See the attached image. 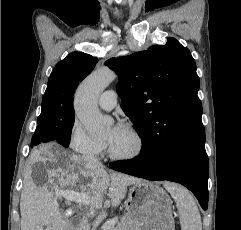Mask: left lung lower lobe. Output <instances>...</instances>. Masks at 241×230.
I'll return each instance as SVG.
<instances>
[{
  "label": "left lung lower lobe",
  "instance_id": "obj_1",
  "mask_svg": "<svg viewBox=\"0 0 241 230\" xmlns=\"http://www.w3.org/2000/svg\"><path fill=\"white\" fill-rule=\"evenodd\" d=\"M116 171L153 181L178 182L191 190L204 210L208 206L209 162L205 142L162 141L142 144L140 154L131 160L110 163Z\"/></svg>",
  "mask_w": 241,
  "mask_h": 230
}]
</instances>
